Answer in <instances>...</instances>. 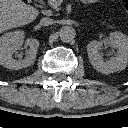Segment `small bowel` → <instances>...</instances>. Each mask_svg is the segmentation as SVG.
Segmentation results:
<instances>
[{
  "instance_id": "1",
  "label": "small bowel",
  "mask_w": 128,
  "mask_h": 128,
  "mask_svg": "<svg viewBox=\"0 0 128 128\" xmlns=\"http://www.w3.org/2000/svg\"><path fill=\"white\" fill-rule=\"evenodd\" d=\"M82 1L98 2L100 0H82Z\"/></svg>"
}]
</instances>
